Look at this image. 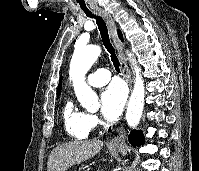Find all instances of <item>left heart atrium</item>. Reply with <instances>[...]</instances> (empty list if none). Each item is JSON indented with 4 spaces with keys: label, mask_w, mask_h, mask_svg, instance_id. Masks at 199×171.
Here are the masks:
<instances>
[{
    "label": "left heart atrium",
    "mask_w": 199,
    "mask_h": 171,
    "mask_svg": "<svg viewBox=\"0 0 199 171\" xmlns=\"http://www.w3.org/2000/svg\"><path fill=\"white\" fill-rule=\"evenodd\" d=\"M127 99L125 87L113 82L101 93V113L108 121H115L121 115Z\"/></svg>",
    "instance_id": "left-heart-atrium-1"
}]
</instances>
